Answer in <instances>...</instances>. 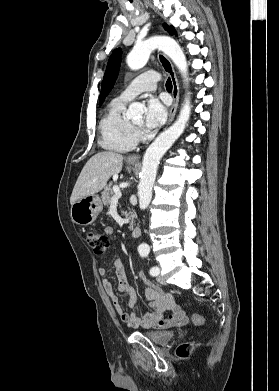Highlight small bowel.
I'll return each mask as SVG.
<instances>
[{"label":"small bowel","mask_w":279,"mask_h":391,"mask_svg":"<svg viewBox=\"0 0 279 391\" xmlns=\"http://www.w3.org/2000/svg\"><path fill=\"white\" fill-rule=\"evenodd\" d=\"M105 234L107 236L113 235V229L107 227ZM114 269L118 281L116 288L113 287L111 280L107 277L102 279V284L121 321L127 326L145 329H167L184 326L188 323L185 311L176 302L174 297L154 286L146 279L143 273L139 274V278L147 285L145 297L149 301V309L139 313L125 312L122 309L117 293L128 295V306L133 307L136 301L135 291L128 283L126 272L120 259L115 260ZM99 274L104 276L106 269L100 268Z\"/></svg>","instance_id":"small-bowel-1"}]
</instances>
